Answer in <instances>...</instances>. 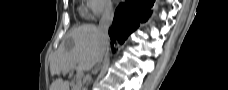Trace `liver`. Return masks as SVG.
Returning <instances> with one entry per match:
<instances>
[{
    "instance_id": "1",
    "label": "liver",
    "mask_w": 228,
    "mask_h": 90,
    "mask_svg": "<svg viewBox=\"0 0 228 90\" xmlns=\"http://www.w3.org/2000/svg\"><path fill=\"white\" fill-rule=\"evenodd\" d=\"M70 37L74 42L73 48L68 51L62 45L52 56L50 62L52 75L66 74L76 66L82 71H87L97 63L101 53L98 27L93 24L81 25L70 33ZM69 88V82L63 81L60 77L50 86V90H70Z\"/></svg>"
}]
</instances>
